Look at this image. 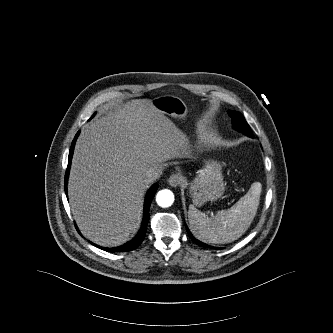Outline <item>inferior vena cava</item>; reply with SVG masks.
<instances>
[{
    "instance_id": "obj_1",
    "label": "inferior vena cava",
    "mask_w": 333,
    "mask_h": 333,
    "mask_svg": "<svg viewBox=\"0 0 333 333\" xmlns=\"http://www.w3.org/2000/svg\"><path fill=\"white\" fill-rule=\"evenodd\" d=\"M162 169L163 167L161 164H155L151 166L146 172L145 176L146 183L149 184L157 180L160 177V174L162 173Z\"/></svg>"
}]
</instances>
